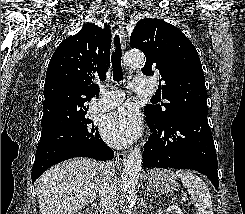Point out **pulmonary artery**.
<instances>
[{
	"label": "pulmonary artery",
	"instance_id": "obj_1",
	"mask_svg": "<svg viewBox=\"0 0 245 214\" xmlns=\"http://www.w3.org/2000/svg\"><path fill=\"white\" fill-rule=\"evenodd\" d=\"M134 92L144 95L153 93V82L150 79L137 77L132 81ZM124 93L120 90L103 91L98 106L101 110H108L116 107L124 100Z\"/></svg>",
	"mask_w": 245,
	"mask_h": 214
}]
</instances>
